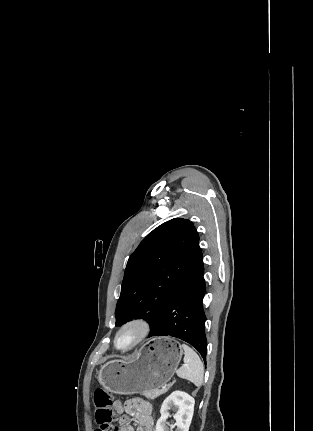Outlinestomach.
Masks as SVG:
<instances>
[{"instance_id": "1", "label": "stomach", "mask_w": 313, "mask_h": 431, "mask_svg": "<svg viewBox=\"0 0 313 431\" xmlns=\"http://www.w3.org/2000/svg\"><path fill=\"white\" fill-rule=\"evenodd\" d=\"M183 355L180 344L168 337L153 338L124 360H111L98 373V382L115 394H136L164 387Z\"/></svg>"}]
</instances>
